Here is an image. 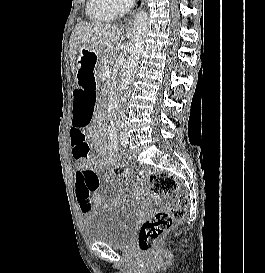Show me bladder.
I'll list each match as a JSON object with an SVG mask.
<instances>
[{"label": "bladder", "instance_id": "31cf9c89", "mask_svg": "<svg viewBox=\"0 0 265 273\" xmlns=\"http://www.w3.org/2000/svg\"><path fill=\"white\" fill-rule=\"evenodd\" d=\"M137 220L136 209L125 204L93 208L85 214L84 235L89 241L124 248L135 231Z\"/></svg>", "mask_w": 265, "mask_h": 273}]
</instances>
